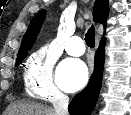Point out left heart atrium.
Instances as JSON below:
<instances>
[{
    "instance_id": "39dd6f15",
    "label": "left heart atrium",
    "mask_w": 131,
    "mask_h": 115,
    "mask_svg": "<svg viewBox=\"0 0 131 115\" xmlns=\"http://www.w3.org/2000/svg\"><path fill=\"white\" fill-rule=\"evenodd\" d=\"M56 78L63 90L74 92L86 83L88 68L81 60L73 58L65 59L58 67Z\"/></svg>"
}]
</instances>
